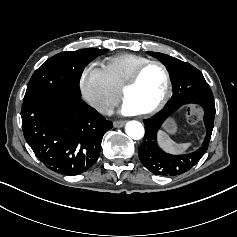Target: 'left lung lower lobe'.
Listing matches in <instances>:
<instances>
[{
    "mask_svg": "<svg viewBox=\"0 0 237 237\" xmlns=\"http://www.w3.org/2000/svg\"><path fill=\"white\" fill-rule=\"evenodd\" d=\"M195 104H199L204 109V122L207 129V132L211 135L213 130V123L215 117V103L214 101H201ZM180 106L178 105L172 108L171 110H163L160 114L165 116L166 118L170 116L175 110H177ZM199 160L196 161V163Z\"/></svg>",
    "mask_w": 237,
    "mask_h": 237,
    "instance_id": "0a47b994",
    "label": "left lung lower lobe"
}]
</instances>
